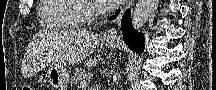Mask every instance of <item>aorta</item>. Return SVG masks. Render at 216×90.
Listing matches in <instances>:
<instances>
[{
  "label": "aorta",
  "mask_w": 216,
  "mask_h": 90,
  "mask_svg": "<svg viewBox=\"0 0 216 90\" xmlns=\"http://www.w3.org/2000/svg\"><path fill=\"white\" fill-rule=\"evenodd\" d=\"M155 6V0H138L132 14V28L140 34Z\"/></svg>",
  "instance_id": "762f6f07"
}]
</instances>
